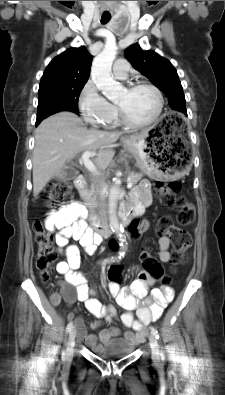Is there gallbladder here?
Instances as JSON below:
<instances>
[{"instance_id":"obj_1","label":"gallbladder","mask_w":225,"mask_h":395,"mask_svg":"<svg viewBox=\"0 0 225 395\" xmlns=\"http://www.w3.org/2000/svg\"><path fill=\"white\" fill-rule=\"evenodd\" d=\"M78 171L72 165H66L56 175V180H70L77 176Z\"/></svg>"}]
</instances>
